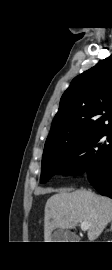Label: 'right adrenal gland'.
Returning a JSON list of instances; mask_svg holds the SVG:
<instances>
[{
	"label": "right adrenal gland",
	"mask_w": 112,
	"mask_h": 270,
	"mask_svg": "<svg viewBox=\"0 0 112 270\" xmlns=\"http://www.w3.org/2000/svg\"><path fill=\"white\" fill-rule=\"evenodd\" d=\"M110 230H112V223H111V228H110Z\"/></svg>",
	"instance_id": "obj_1"
}]
</instances>
